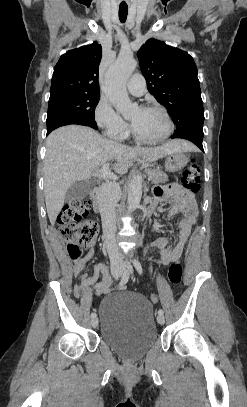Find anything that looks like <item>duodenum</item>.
<instances>
[{
  "label": "duodenum",
  "instance_id": "410a0bca",
  "mask_svg": "<svg viewBox=\"0 0 247 407\" xmlns=\"http://www.w3.org/2000/svg\"><path fill=\"white\" fill-rule=\"evenodd\" d=\"M101 190H102L101 183H98L95 185V187L90 193V200L93 206V210L99 215H103L105 211L104 204L101 199ZM149 213L150 206L145 210V216H147Z\"/></svg>",
  "mask_w": 247,
  "mask_h": 407
}]
</instances>
